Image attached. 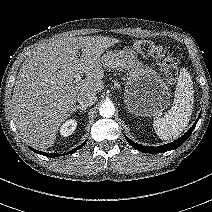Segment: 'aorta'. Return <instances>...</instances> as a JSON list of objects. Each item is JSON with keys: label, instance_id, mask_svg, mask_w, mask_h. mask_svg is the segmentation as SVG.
I'll list each match as a JSON object with an SVG mask.
<instances>
[{"label": "aorta", "instance_id": "1", "mask_svg": "<svg viewBox=\"0 0 212 212\" xmlns=\"http://www.w3.org/2000/svg\"><path fill=\"white\" fill-rule=\"evenodd\" d=\"M115 108L111 102L103 103L99 108V113L104 118H110L114 115Z\"/></svg>", "mask_w": 212, "mask_h": 212}]
</instances>
